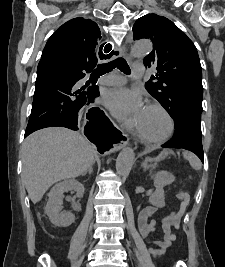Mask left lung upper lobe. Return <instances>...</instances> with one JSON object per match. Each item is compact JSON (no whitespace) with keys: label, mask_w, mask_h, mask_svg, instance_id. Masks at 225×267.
I'll return each mask as SVG.
<instances>
[{"label":"left lung upper lobe","mask_w":225,"mask_h":267,"mask_svg":"<svg viewBox=\"0 0 225 267\" xmlns=\"http://www.w3.org/2000/svg\"><path fill=\"white\" fill-rule=\"evenodd\" d=\"M133 33L134 39L153 43L144 64L156 73L146 89L173 118L176 128L189 110L202 111V68L197 49L172 21L156 14L140 17Z\"/></svg>","instance_id":"5c2ea615"}]
</instances>
